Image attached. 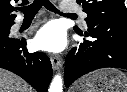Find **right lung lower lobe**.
Masks as SVG:
<instances>
[{
    "label": "right lung lower lobe",
    "instance_id": "obj_1",
    "mask_svg": "<svg viewBox=\"0 0 127 92\" xmlns=\"http://www.w3.org/2000/svg\"><path fill=\"white\" fill-rule=\"evenodd\" d=\"M25 46L26 40L11 37L10 31L0 34V67L19 75L37 91L47 92L52 78L51 62L44 53H29Z\"/></svg>",
    "mask_w": 127,
    "mask_h": 92
}]
</instances>
